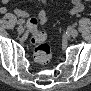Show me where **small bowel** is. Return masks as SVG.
Returning a JSON list of instances; mask_svg holds the SVG:
<instances>
[{"label":"small bowel","mask_w":91,"mask_h":91,"mask_svg":"<svg viewBox=\"0 0 91 91\" xmlns=\"http://www.w3.org/2000/svg\"><path fill=\"white\" fill-rule=\"evenodd\" d=\"M39 2L41 4H46L47 1L46 0H40ZM83 10H84L83 3L80 0H73L72 6L70 8V13L71 14H78V13L82 12ZM0 12L2 14H5L7 12V9L5 7H1ZM13 12L16 16H19V17L27 16V12H25L24 10H21V9H15ZM45 15L46 14L43 11H41L39 13V16H45Z\"/></svg>","instance_id":"1"}]
</instances>
